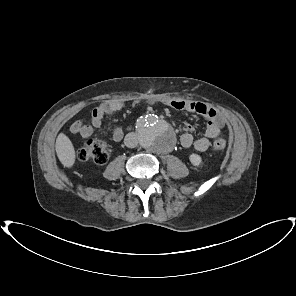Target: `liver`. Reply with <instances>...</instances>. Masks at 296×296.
Wrapping results in <instances>:
<instances>
[{"mask_svg": "<svg viewBox=\"0 0 296 296\" xmlns=\"http://www.w3.org/2000/svg\"><path fill=\"white\" fill-rule=\"evenodd\" d=\"M56 153L64 167L71 168L75 163V149L71 140L60 133L56 139Z\"/></svg>", "mask_w": 296, "mask_h": 296, "instance_id": "1", "label": "liver"}]
</instances>
